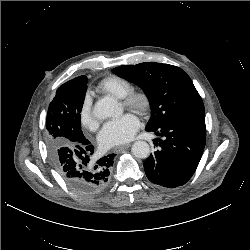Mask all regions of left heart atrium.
<instances>
[{"label":"left heart atrium","mask_w":250,"mask_h":250,"mask_svg":"<svg viewBox=\"0 0 250 250\" xmlns=\"http://www.w3.org/2000/svg\"><path fill=\"white\" fill-rule=\"evenodd\" d=\"M139 125V119L133 113L108 121L98 135L99 144L104 149L124 144L133 138Z\"/></svg>","instance_id":"39dd6f15"}]
</instances>
